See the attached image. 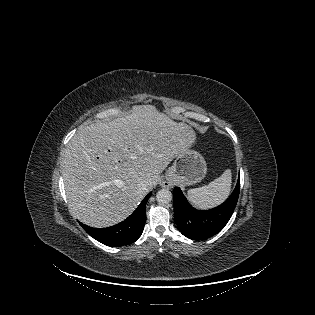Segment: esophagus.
I'll use <instances>...</instances> for the list:
<instances>
[{
	"mask_svg": "<svg viewBox=\"0 0 315 315\" xmlns=\"http://www.w3.org/2000/svg\"><path fill=\"white\" fill-rule=\"evenodd\" d=\"M161 186H162L163 188H171V187H172V184H171V182H169V181H163V182L161 183Z\"/></svg>",
	"mask_w": 315,
	"mask_h": 315,
	"instance_id": "obj_1",
	"label": "esophagus"
}]
</instances>
